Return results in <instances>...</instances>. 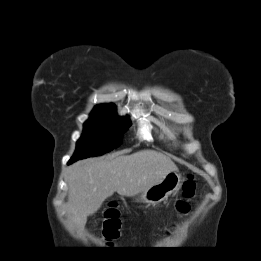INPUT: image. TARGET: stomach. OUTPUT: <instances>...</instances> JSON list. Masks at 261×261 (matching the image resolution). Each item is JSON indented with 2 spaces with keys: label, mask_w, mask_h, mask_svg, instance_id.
I'll return each instance as SVG.
<instances>
[{
  "label": "stomach",
  "mask_w": 261,
  "mask_h": 261,
  "mask_svg": "<svg viewBox=\"0 0 261 261\" xmlns=\"http://www.w3.org/2000/svg\"><path fill=\"white\" fill-rule=\"evenodd\" d=\"M181 185V175L178 171L169 172L165 178L144 191L140 200L148 204H158L167 199Z\"/></svg>",
  "instance_id": "obj_1"
}]
</instances>
